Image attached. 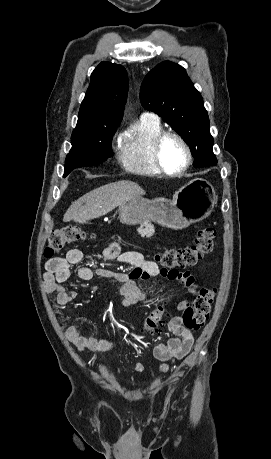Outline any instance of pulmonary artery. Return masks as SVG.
Wrapping results in <instances>:
<instances>
[{
	"label": "pulmonary artery",
	"instance_id": "1",
	"mask_svg": "<svg viewBox=\"0 0 271 459\" xmlns=\"http://www.w3.org/2000/svg\"><path fill=\"white\" fill-rule=\"evenodd\" d=\"M142 117L158 118L156 115L150 114V113H143V114H142Z\"/></svg>",
	"mask_w": 271,
	"mask_h": 459
}]
</instances>
